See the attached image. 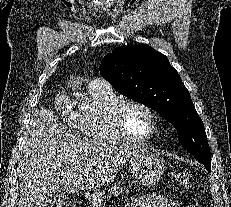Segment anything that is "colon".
Returning a JSON list of instances; mask_svg holds the SVG:
<instances>
[{"label": "colon", "instance_id": "colon-1", "mask_svg": "<svg viewBox=\"0 0 231 207\" xmlns=\"http://www.w3.org/2000/svg\"><path fill=\"white\" fill-rule=\"evenodd\" d=\"M174 177L182 187L189 188L191 186L190 177L186 172H177ZM52 207H74V205L71 202H63L53 205Z\"/></svg>", "mask_w": 231, "mask_h": 207}]
</instances>
